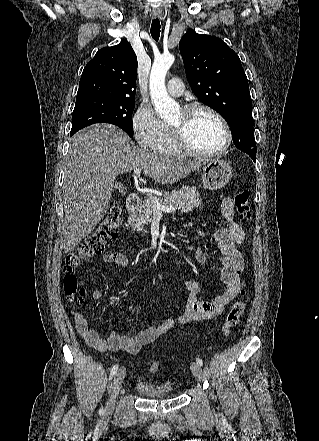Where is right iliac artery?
<instances>
[{
  "instance_id": "82829eb1",
  "label": "right iliac artery",
  "mask_w": 319,
  "mask_h": 441,
  "mask_svg": "<svg viewBox=\"0 0 319 441\" xmlns=\"http://www.w3.org/2000/svg\"><path fill=\"white\" fill-rule=\"evenodd\" d=\"M117 370H118V365L115 364V365L112 367V369H111V372H110V379L116 374ZM99 412H100V414L103 413V407H101V409H100Z\"/></svg>"
}]
</instances>
